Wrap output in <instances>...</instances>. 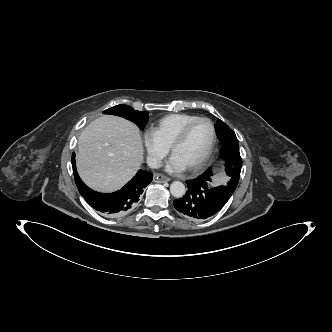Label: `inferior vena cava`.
Returning a JSON list of instances; mask_svg holds the SVG:
<instances>
[{
    "label": "inferior vena cava",
    "mask_w": 332,
    "mask_h": 332,
    "mask_svg": "<svg viewBox=\"0 0 332 332\" xmlns=\"http://www.w3.org/2000/svg\"><path fill=\"white\" fill-rule=\"evenodd\" d=\"M147 164L152 169H158L161 167V161L155 157H149L147 159Z\"/></svg>",
    "instance_id": "602c4592"
}]
</instances>
